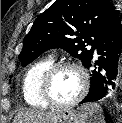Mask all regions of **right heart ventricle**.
Masks as SVG:
<instances>
[{"mask_svg":"<svg viewBox=\"0 0 122 123\" xmlns=\"http://www.w3.org/2000/svg\"><path fill=\"white\" fill-rule=\"evenodd\" d=\"M54 64L52 58L38 61L27 71L23 80V97L26 103L35 108H46L48 104L41 96V83L47 70Z\"/></svg>","mask_w":122,"mask_h":123,"instance_id":"1","label":"right heart ventricle"}]
</instances>
